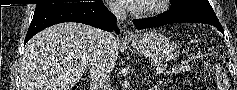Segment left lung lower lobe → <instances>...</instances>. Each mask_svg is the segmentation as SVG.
<instances>
[{"instance_id":"left-lung-lower-lobe-1","label":"left lung lower lobe","mask_w":237,"mask_h":90,"mask_svg":"<svg viewBox=\"0 0 237 90\" xmlns=\"http://www.w3.org/2000/svg\"><path fill=\"white\" fill-rule=\"evenodd\" d=\"M181 22H196L206 23L215 26L219 31L224 34L223 28L219 23L217 17H211L199 13H193L188 11H168L158 17L149 19L134 20L133 23L137 29L151 28L170 23H181Z\"/></svg>"}]
</instances>
